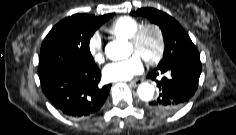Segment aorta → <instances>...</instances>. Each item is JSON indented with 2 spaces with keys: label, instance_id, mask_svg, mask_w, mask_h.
Here are the masks:
<instances>
[{
  "label": "aorta",
  "instance_id": "762f6f07",
  "mask_svg": "<svg viewBox=\"0 0 236 135\" xmlns=\"http://www.w3.org/2000/svg\"><path fill=\"white\" fill-rule=\"evenodd\" d=\"M106 56L111 60H120L129 56L128 43L123 39H116L109 42L105 48ZM155 88L149 83H142L137 89L138 96L143 101H150L153 98Z\"/></svg>",
  "mask_w": 236,
  "mask_h": 135
}]
</instances>
